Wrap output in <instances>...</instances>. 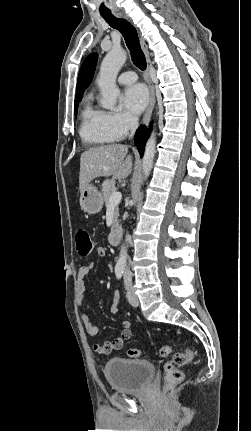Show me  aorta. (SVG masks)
Masks as SVG:
<instances>
[{
  "mask_svg": "<svg viewBox=\"0 0 251 431\" xmlns=\"http://www.w3.org/2000/svg\"><path fill=\"white\" fill-rule=\"evenodd\" d=\"M127 59V54L122 48H112L104 57L99 78L97 80L98 86L101 90L102 100L101 106L105 109L113 110L116 106L117 97L119 95V88L116 85V77ZM156 153V135L153 132L145 146L143 156L142 169L144 179H147L153 167L154 157ZM127 253L125 246H121L117 266L124 267L126 264Z\"/></svg>",
  "mask_w": 251,
  "mask_h": 431,
  "instance_id": "aorta-1",
  "label": "aorta"
}]
</instances>
